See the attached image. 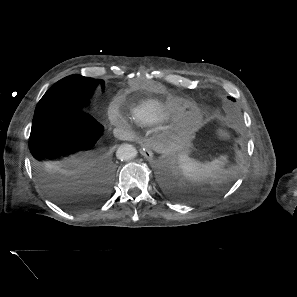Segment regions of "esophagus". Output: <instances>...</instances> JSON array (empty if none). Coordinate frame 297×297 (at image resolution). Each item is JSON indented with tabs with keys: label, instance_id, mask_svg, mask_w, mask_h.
<instances>
[{
	"label": "esophagus",
	"instance_id": "1",
	"mask_svg": "<svg viewBox=\"0 0 297 297\" xmlns=\"http://www.w3.org/2000/svg\"><path fill=\"white\" fill-rule=\"evenodd\" d=\"M140 153L148 160H151L153 157V152L151 151L149 144H144L140 149Z\"/></svg>",
	"mask_w": 297,
	"mask_h": 297
}]
</instances>
